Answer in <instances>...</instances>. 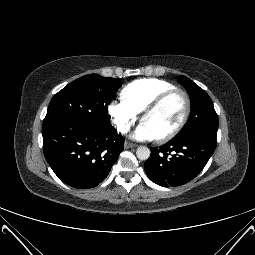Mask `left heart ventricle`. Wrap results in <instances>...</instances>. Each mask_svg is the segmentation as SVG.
Instances as JSON below:
<instances>
[{
  "instance_id": "obj_1",
  "label": "left heart ventricle",
  "mask_w": 255,
  "mask_h": 255,
  "mask_svg": "<svg viewBox=\"0 0 255 255\" xmlns=\"http://www.w3.org/2000/svg\"><path fill=\"white\" fill-rule=\"evenodd\" d=\"M185 109V101L181 94H174L159 108L146 115L143 119L155 133L157 138L167 134L177 126Z\"/></svg>"
}]
</instances>
